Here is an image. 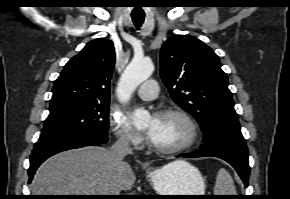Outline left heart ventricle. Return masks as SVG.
<instances>
[{
  "instance_id": "b2bd125f",
  "label": "left heart ventricle",
  "mask_w": 290,
  "mask_h": 199,
  "mask_svg": "<svg viewBox=\"0 0 290 199\" xmlns=\"http://www.w3.org/2000/svg\"><path fill=\"white\" fill-rule=\"evenodd\" d=\"M153 123L155 124L154 134L150 140L159 147L175 148L189 139V126L178 116H157L147 123V129Z\"/></svg>"
}]
</instances>
